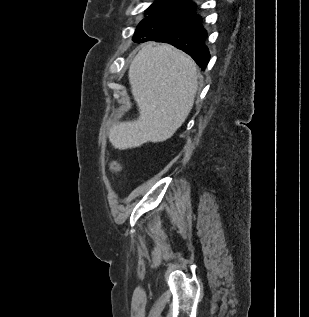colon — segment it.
<instances>
[{
  "mask_svg": "<svg viewBox=\"0 0 309 317\" xmlns=\"http://www.w3.org/2000/svg\"><path fill=\"white\" fill-rule=\"evenodd\" d=\"M111 169L114 171V172H118L119 171V166L117 164H112L111 165Z\"/></svg>",
  "mask_w": 309,
  "mask_h": 317,
  "instance_id": "colon-1",
  "label": "colon"
}]
</instances>
